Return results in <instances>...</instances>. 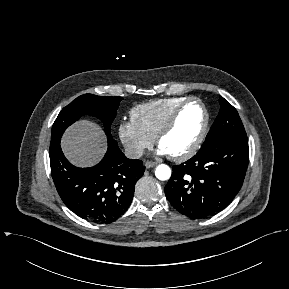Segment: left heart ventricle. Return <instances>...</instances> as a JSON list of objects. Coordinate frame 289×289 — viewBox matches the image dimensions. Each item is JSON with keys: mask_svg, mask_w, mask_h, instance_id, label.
<instances>
[{"mask_svg": "<svg viewBox=\"0 0 289 289\" xmlns=\"http://www.w3.org/2000/svg\"><path fill=\"white\" fill-rule=\"evenodd\" d=\"M204 122V112L197 102L189 103L181 112L174 128L161 141L167 154L187 150L197 139Z\"/></svg>", "mask_w": 289, "mask_h": 289, "instance_id": "b2bd125f", "label": "left heart ventricle"}]
</instances>
